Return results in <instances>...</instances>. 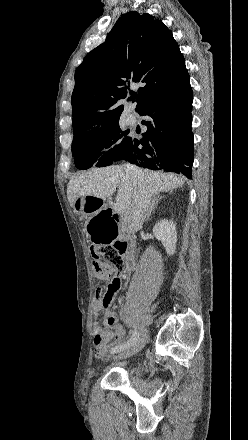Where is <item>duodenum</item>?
<instances>
[{"instance_id":"1","label":"duodenum","mask_w":248,"mask_h":440,"mask_svg":"<svg viewBox=\"0 0 248 440\" xmlns=\"http://www.w3.org/2000/svg\"><path fill=\"white\" fill-rule=\"evenodd\" d=\"M114 218H116L117 223L120 221L119 215H114ZM115 244L119 249V251H121V253H123L127 257V259H130L135 252L134 241L129 237L118 236V239L117 241H115Z\"/></svg>"}]
</instances>
